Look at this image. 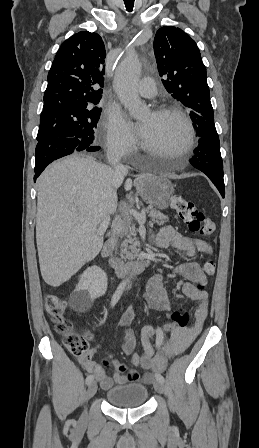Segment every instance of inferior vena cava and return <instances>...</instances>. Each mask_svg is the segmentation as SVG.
Returning a JSON list of instances; mask_svg holds the SVG:
<instances>
[{
	"label": "inferior vena cava",
	"mask_w": 259,
	"mask_h": 448,
	"mask_svg": "<svg viewBox=\"0 0 259 448\" xmlns=\"http://www.w3.org/2000/svg\"><path fill=\"white\" fill-rule=\"evenodd\" d=\"M119 148L120 146H118V144H114L113 148H111L108 154V162L110 166L114 168L116 174H120V176H123V174H125L127 170L125 166H122V164H120L121 152ZM122 230H124L123 222L120 216H116L115 220H113L112 232L113 234H120Z\"/></svg>",
	"instance_id": "1"
}]
</instances>
